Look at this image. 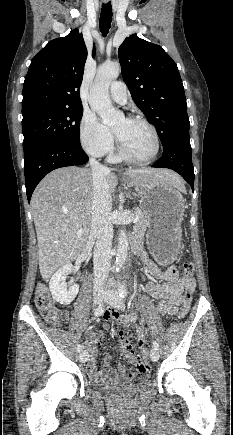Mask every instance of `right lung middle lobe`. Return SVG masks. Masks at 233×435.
Masks as SVG:
<instances>
[{
    "mask_svg": "<svg viewBox=\"0 0 233 435\" xmlns=\"http://www.w3.org/2000/svg\"><path fill=\"white\" fill-rule=\"evenodd\" d=\"M82 115L83 108H49L23 116V148L44 141L80 146Z\"/></svg>",
    "mask_w": 233,
    "mask_h": 435,
    "instance_id": "obj_1",
    "label": "right lung middle lobe"
}]
</instances>
